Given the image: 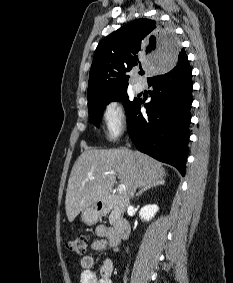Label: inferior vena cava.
I'll return each mask as SVG.
<instances>
[{"instance_id": "1", "label": "inferior vena cava", "mask_w": 233, "mask_h": 283, "mask_svg": "<svg viewBox=\"0 0 233 283\" xmlns=\"http://www.w3.org/2000/svg\"><path fill=\"white\" fill-rule=\"evenodd\" d=\"M134 192H135V190H132L131 192H130V196L133 198L134 197Z\"/></svg>"}]
</instances>
